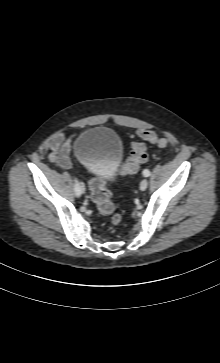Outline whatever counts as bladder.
I'll return each mask as SVG.
<instances>
[{
  "instance_id": "obj_1",
  "label": "bladder",
  "mask_w": 220,
  "mask_h": 363,
  "mask_svg": "<svg viewBox=\"0 0 220 363\" xmlns=\"http://www.w3.org/2000/svg\"><path fill=\"white\" fill-rule=\"evenodd\" d=\"M73 149L79 161L91 172L109 179L122 157L119 135L107 127H91L75 139Z\"/></svg>"
}]
</instances>
